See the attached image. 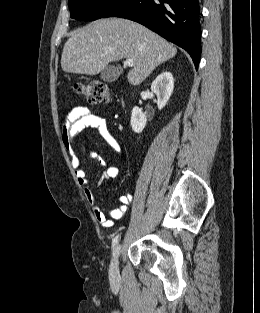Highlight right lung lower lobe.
<instances>
[{
  "label": "right lung lower lobe",
  "mask_w": 260,
  "mask_h": 313,
  "mask_svg": "<svg viewBox=\"0 0 260 313\" xmlns=\"http://www.w3.org/2000/svg\"><path fill=\"white\" fill-rule=\"evenodd\" d=\"M105 17L136 21L187 50L195 67L200 61L199 0H122Z\"/></svg>",
  "instance_id": "obj_1"
}]
</instances>
